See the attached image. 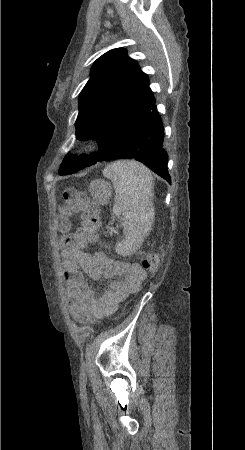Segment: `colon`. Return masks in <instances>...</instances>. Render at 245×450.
I'll return each mask as SVG.
<instances>
[{
	"label": "colon",
	"instance_id": "colon-1",
	"mask_svg": "<svg viewBox=\"0 0 245 450\" xmlns=\"http://www.w3.org/2000/svg\"><path fill=\"white\" fill-rule=\"evenodd\" d=\"M71 214H80L81 224L76 231L68 233ZM100 228L98 207L89 195L73 188L65 189L57 216L61 246L67 250L82 252L88 244L97 242ZM141 265L146 273L154 274L159 266L158 255L146 256Z\"/></svg>",
	"mask_w": 245,
	"mask_h": 450
}]
</instances>
